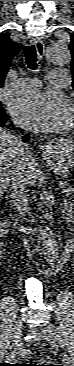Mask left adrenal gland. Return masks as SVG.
<instances>
[{"instance_id": "obj_1", "label": "left adrenal gland", "mask_w": 74, "mask_h": 366, "mask_svg": "<svg viewBox=\"0 0 74 366\" xmlns=\"http://www.w3.org/2000/svg\"><path fill=\"white\" fill-rule=\"evenodd\" d=\"M68 203H69V202H68V201H67V199L65 198V199H64V202H63V204H62V207L64 208V210L62 211L63 213H65V211H66V210H68V207H69V206H68Z\"/></svg>"}]
</instances>
